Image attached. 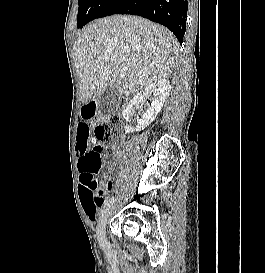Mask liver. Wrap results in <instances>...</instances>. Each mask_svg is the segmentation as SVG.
Wrapping results in <instances>:
<instances>
[{"instance_id": "liver-1", "label": "liver", "mask_w": 265, "mask_h": 273, "mask_svg": "<svg viewBox=\"0 0 265 273\" xmlns=\"http://www.w3.org/2000/svg\"><path fill=\"white\" fill-rule=\"evenodd\" d=\"M87 104L115 85L120 95L135 93L172 73L179 52L175 36L162 25L130 15H114L87 25L74 43ZM127 68L121 70V64Z\"/></svg>"}]
</instances>
